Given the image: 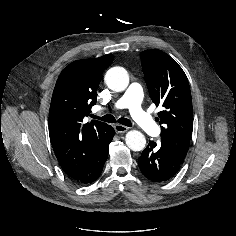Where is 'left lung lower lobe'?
Returning <instances> with one entry per match:
<instances>
[{"instance_id":"0a47b994","label":"left lung lower lobe","mask_w":236,"mask_h":236,"mask_svg":"<svg viewBox=\"0 0 236 236\" xmlns=\"http://www.w3.org/2000/svg\"><path fill=\"white\" fill-rule=\"evenodd\" d=\"M183 162V159L172 154L154 141H149L148 146L138 158V164L145 177L153 182H163L173 177Z\"/></svg>"}]
</instances>
